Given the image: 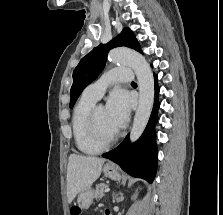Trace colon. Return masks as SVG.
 Masks as SVG:
<instances>
[{
	"label": "colon",
	"instance_id": "1",
	"mask_svg": "<svg viewBox=\"0 0 223 215\" xmlns=\"http://www.w3.org/2000/svg\"><path fill=\"white\" fill-rule=\"evenodd\" d=\"M72 214L73 215H78V214H80V210H79V208H77V207H74V208H72Z\"/></svg>",
	"mask_w": 223,
	"mask_h": 215
}]
</instances>
